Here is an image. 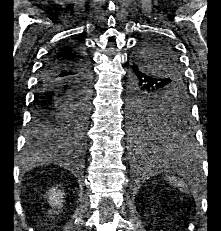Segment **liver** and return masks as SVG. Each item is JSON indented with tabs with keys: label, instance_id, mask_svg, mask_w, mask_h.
<instances>
[{
	"label": "liver",
	"instance_id": "liver-1",
	"mask_svg": "<svg viewBox=\"0 0 221 231\" xmlns=\"http://www.w3.org/2000/svg\"><path fill=\"white\" fill-rule=\"evenodd\" d=\"M53 154H54L53 152H49V153H46V154L41 153V154L39 155V157H36V160L41 161V160H44V159H48V158L51 157Z\"/></svg>",
	"mask_w": 221,
	"mask_h": 231
}]
</instances>
